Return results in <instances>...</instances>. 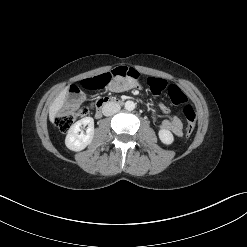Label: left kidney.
Listing matches in <instances>:
<instances>
[{
	"instance_id": "left-kidney-1",
	"label": "left kidney",
	"mask_w": 247,
	"mask_h": 247,
	"mask_svg": "<svg viewBox=\"0 0 247 247\" xmlns=\"http://www.w3.org/2000/svg\"><path fill=\"white\" fill-rule=\"evenodd\" d=\"M158 135H159L161 142L166 145H171L174 141V136L169 130L161 129L159 130Z\"/></svg>"
}]
</instances>
